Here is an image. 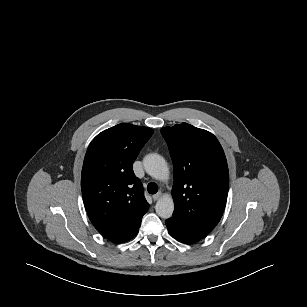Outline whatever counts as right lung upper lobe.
Here are the masks:
<instances>
[{"instance_id": "cb5924a9", "label": "right lung upper lobe", "mask_w": 307, "mask_h": 307, "mask_svg": "<svg viewBox=\"0 0 307 307\" xmlns=\"http://www.w3.org/2000/svg\"><path fill=\"white\" fill-rule=\"evenodd\" d=\"M152 134L151 128L121 123L88 146L81 175L84 205L94 227L113 242L135 237L149 208L132 165Z\"/></svg>"}]
</instances>
